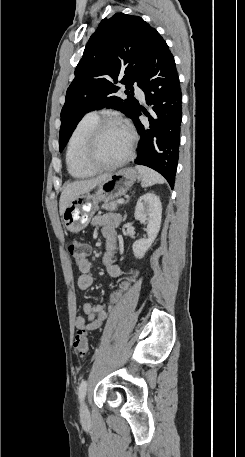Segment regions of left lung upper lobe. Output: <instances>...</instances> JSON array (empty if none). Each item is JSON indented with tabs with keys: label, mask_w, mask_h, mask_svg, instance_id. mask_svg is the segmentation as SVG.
I'll return each instance as SVG.
<instances>
[{
	"label": "left lung upper lobe",
	"mask_w": 245,
	"mask_h": 457,
	"mask_svg": "<svg viewBox=\"0 0 245 457\" xmlns=\"http://www.w3.org/2000/svg\"><path fill=\"white\" fill-rule=\"evenodd\" d=\"M161 39L157 30L138 16L116 13L101 21L85 47L67 90L61 111L60 152L78 122L90 110L107 107L120 110L129 118L133 116L139 102L131 97L132 86L139 85L148 59ZM117 82L132 90L128 99L113 95L118 90L114 85Z\"/></svg>",
	"instance_id": "1"
}]
</instances>
